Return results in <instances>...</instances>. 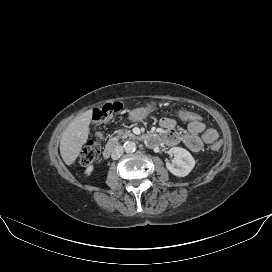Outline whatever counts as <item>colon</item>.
I'll use <instances>...</instances> for the list:
<instances>
[{
  "mask_svg": "<svg viewBox=\"0 0 272 272\" xmlns=\"http://www.w3.org/2000/svg\"><path fill=\"white\" fill-rule=\"evenodd\" d=\"M120 109H121V106L118 103L105 104L101 108L96 109L94 111L92 119L97 125L106 124ZM174 116L178 120L184 121V122L202 120V117L200 114L193 111L185 110V109L175 110ZM100 139H101V136L100 134H98L95 140L88 141L83 147L80 154V163L83 166H88L92 164L98 158L101 151ZM220 147H221L220 141H215L211 145V149L213 151H218Z\"/></svg>",
  "mask_w": 272,
  "mask_h": 272,
  "instance_id": "colon-1",
  "label": "colon"
}]
</instances>
